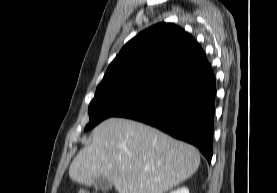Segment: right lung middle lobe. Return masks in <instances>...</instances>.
Masks as SVG:
<instances>
[{"mask_svg": "<svg viewBox=\"0 0 277 193\" xmlns=\"http://www.w3.org/2000/svg\"><path fill=\"white\" fill-rule=\"evenodd\" d=\"M154 90L137 87H114L97 89L94 99L89 105L90 121L85 131L109 117H114L140 102Z\"/></svg>", "mask_w": 277, "mask_h": 193, "instance_id": "right-lung-middle-lobe-1", "label": "right lung middle lobe"}]
</instances>
